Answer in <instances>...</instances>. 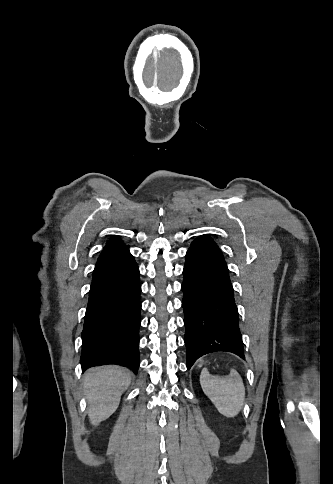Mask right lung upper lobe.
Masks as SVG:
<instances>
[{
    "mask_svg": "<svg viewBox=\"0 0 333 484\" xmlns=\"http://www.w3.org/2000/svg\"><path fill=\"white\" fill-rule=\"evenodd\" d=\"M123 245V243L121 242L120 239H118L117 237H114L112 238L111 240H109L107 242V245L105 246L104 249H107V248H110V247H114V246H121Z\"/></svg>",
    "mask_w": 333,
    "mask_h": 484,
    "instance_id": "1",
    "label": "right lung upper lobe"
}]
</instances>
